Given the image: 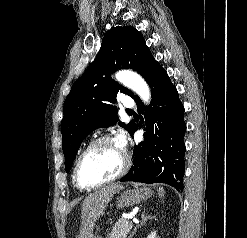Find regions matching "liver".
Wrapping results in <instances>:
<instances>
[{"label":"liver","instance_id":"6515ba94","mask_svg":"<svg viewBox=\"0 0 247 238\" xmlns=\"http://www.w3.org/2000/svg\"><path fill=\"white\" fill-rule=\"evenodd\" d=\"M124 187L119 184H111L90 194L82 203V231L79 238H92L93 227L97 219L104 213L107 204L114 194Z\"/></svg>","mask_w":247,"mask_h":238}]
</instances>
